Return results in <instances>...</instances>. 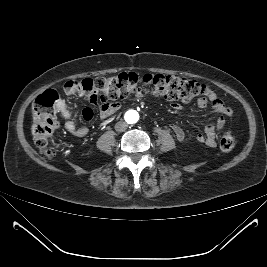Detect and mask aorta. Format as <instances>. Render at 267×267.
<instances>
[{
	"instance_id": "762f6f07",
	"label": "aorta",
	"mask_w": 267,
	"mask_h": 267,
	"mask_svg": "<svg viewBox=\"0 0 267 267\" xmlns=\"http://www.w3.org/2000/svg\"><path fill=\"white\" fill-rule=\"evenodd\" d=\"M125 118L127 119L129 123L133 124L138 121L139 115L136 111L131 110L126 113Z\"/></svg>"
}]
</instances>
